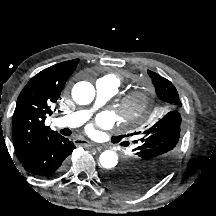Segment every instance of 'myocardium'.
<instances>
[{"instance_id":"obj_1","label":"myocardium","mask_w":216,"mask_h":216,"mask_svg":"<svg viewBox=\"0 0 216 216\" xmlns=\"http://www.w3.org/2000/svg\"><path fill=\"white\" fill-rule=\"evenodd\" d=\"M150 102L149 91L138 88L128 93L122 100V115L127 121L140 120L147 113Z\"/></svg>"}]
</instances>
